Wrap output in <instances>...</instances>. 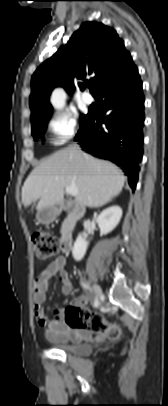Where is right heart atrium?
I'll return each mask as SVG.
<instances>
[{"mask_svg": "<svg viewBox=\"0 0 168 406\" xmlns=\"http://www.w3.org/2000/svg\"><path fill=\"white\" fill-rule=\"evenodd\" d=\"M47 128L52 136V143L62 145L76 134L78 118L71 111H58L50 117Z\"/></svg>", "mask_w": 168, "mask_h": 406, "instance_id": "d8ad5b80", "label": "right heart atrium"}]
</instances>
